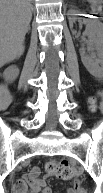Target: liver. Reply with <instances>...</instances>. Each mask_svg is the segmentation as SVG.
Instances as JSON below:
<instances>
[{
    "label": "liver",
    "mask_w": 103,
    "mask_h": 193,
    "mask_svg": "<svg viewBox=\"0 0 103 193\" xmlns=\"http://www.w3.org/2000/svg\"><path fill=\"white\" fill-rule=\"evenodd\" d=\"M0 64L12 62L24 52V38L32 19L29 0H1Z\"/></svg>",
    "instance_id": "6515ba94"
}]
</instances>
